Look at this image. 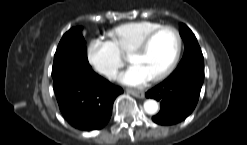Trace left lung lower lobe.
Here are the masks:
<instances>
[{"label": "left lung lower lobe", "mask_w": 247, "mask_h": 145, "mask_svg": "<svg viewBox=\"0 0 247 145\" xmlns=\"http://www.w3.org/2000/svg\"><path fill=\"white\" fill-rule=\"evenodd\" d=\"M204 81V59L181 61L162 83L146 93L160 102V112L152 120L161 125L176 124L194 110Z\"/></svg>", "instance_id": "obj_1"}]
</instances>
